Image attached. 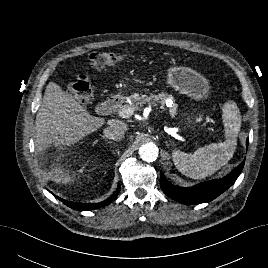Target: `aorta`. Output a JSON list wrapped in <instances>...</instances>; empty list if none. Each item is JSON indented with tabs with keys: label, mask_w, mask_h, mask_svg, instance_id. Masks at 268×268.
Instances as JSON below:
<instances>
[{
	"label": "aorta",
	"mask_w": 268,
	"mask_h": 268,
	"mask_svg": "<svg viewBox=\"0 0 268 268\" xmlns=\"http://www.w3.org/2000/svg\"><path fill=\"white\" fill-rule=\"evenodd\" d=\"M139 155L146 162H154L158 157V148L154 143L143 144L139 148Z\"/></svg>",
	"instance_id": "1"
}]
</instances>
